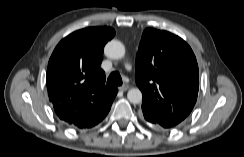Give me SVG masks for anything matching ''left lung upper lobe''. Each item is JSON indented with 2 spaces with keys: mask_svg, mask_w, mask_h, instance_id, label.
Listing matches in <instances>:
<instances>
[{
  "mask_svg": "<svg viewBox=\"0 0 244 157\" xmlns=\"http://www.w3.org/2000/svg\"><path fill=\"white\" fill-rule=\"evenodd\" d=\"M136 83L142 110L164 128L183 121L198 95L199 71L190 46L166 31L146 28L136 55Z\"/></svg>",
  "mask_w": 244,
  "mask_h": 157,
  "instance_id": "obj_1",
  "label": "left lung upper lobe"
}]
</instances>
